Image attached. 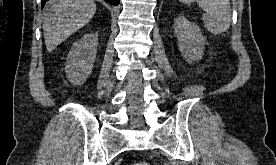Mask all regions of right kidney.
<instances>
[{
    "label": "right kidney",
    "instance_id": "ca27d5eb",
    "mask_svg": "<svg viewBox=\"0 0 276 165\" xmlns=\"http://www.w3.org/2000/svg\"><path fill=\"white\" fill-rule=\"evenodd\" d=\"M98 35L89 33L76 40L68 53L65 72L74 85H81L91 74L96 59Z\"/></svg>",
    "mask_w": 276,
    "mask_h": 165
}]
</instances>
